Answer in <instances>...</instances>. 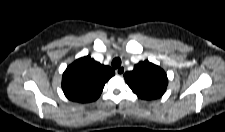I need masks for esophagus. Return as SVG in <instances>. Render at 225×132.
Listing matches in <instances>:
<instances>
[{"instance_id": "1", "label": "esophagus", "mask_w": 225, "mask_h": 132, "mask_svg": "<svg viewBox=\"0 0 225 132\" xmlns=\"http://www.w3.org/2000/svg\"><path fill=\"white\" fill-rule=\"evenodd\" d=\"M117 75H123L125 72V67L121 66L115 70Z\"/></svg>"}]
</instances>
